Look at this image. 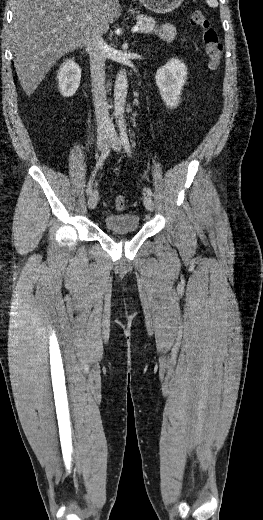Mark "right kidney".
<instances>
[{
  "label": "right kidney",
  "instance_id": "obj_1",
  "mask_svg": "<svg viewBox=\"0 0 263 520\" xmlns=\"http://www.w3.org/2000/svg\"><path fill=\"white\" fill-rule=\"evenodd\" d=\"M57 79L61 95L73 96L80 85L81 68L72 59L66 60L58 71Z\"/></svg>",
  "mask_w": 263,
  "mask_h": 520
}]
</instances>
